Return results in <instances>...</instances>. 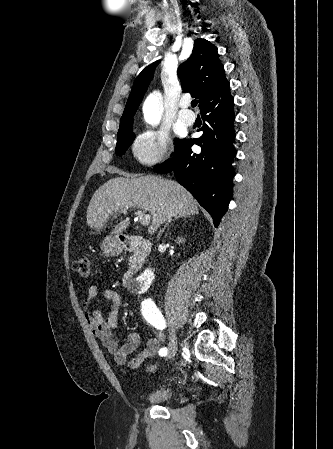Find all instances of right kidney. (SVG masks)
I'll return each mask as SVG.
<instances>
[{"mask_svg":"<svg viewBox=\"0 0 333 449\" xmlns=\"http://www.w3.org/2000/svg\"><path fill=\"white\" fill-rule=\"evenodd\" d=\"M154 279L155 275L152 272V270L149 268L145 269V271L136 279L135 291L139 293L146 292L151 286V283L153 282Z\"/></svg>","mask_w":333,"mask_h":449,"instance_id":"1","label":"right kidney"}]
</instances>
